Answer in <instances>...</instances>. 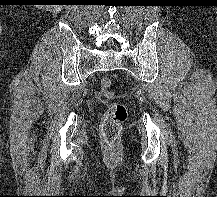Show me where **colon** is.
<instances>
[{"instance_id": "obj_1", "label": "colon", "mask_w": 217, "mask_h": 197, "mask_svg": "<svg viewBox=\"0 0 217 197\" xmlns=\"http://www.w3.org/2000/svg\"><path fill=\"white\" fill-rule=\"evenodd\" d=\"M112 81L109 78H103L100 81L101 94L107 99L113 97L110 88ZM127 119V109L123 104L110 103L101 122V134L105 144L108 147L115 145L122 133L123 123Z\"/></svg>"}]
</instances>
